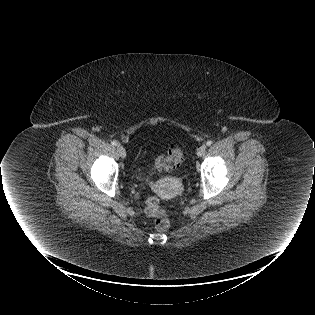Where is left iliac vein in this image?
<instances>
[{"instance_id": "obj_1", "label": "left iliac vein", "mask_w": 315, "mask_h": 315, "mask_svg": "<svg viewBox=\"0 0 315 315\" xmlns=\"http://www.w3.org/2000/svg\"><path fill=\"white\" fill-rule=\"evenodd\" d=\"M206 151V145H201L198 149H197V156L201 157Z\"/></svg>"}]
</instances>
